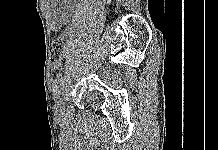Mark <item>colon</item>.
Instances as JSON below:
<instances>
[{
    "label": "colon",
    "instance_id": "5ec220e1",
    "mask_svg": "<svg viewBox=\"0 0 218 150\" xmlns=\"http://www.w3.org/2000/svg\"><path fill=\"white\" fill-rule=\"evenodd\" d=\"M66 48V40L65 37L62 35L57 36L52 44V48H51V60L52 62L56 63L58 62L65 51Z\"/></svg>",
    "mask_w": 218,
    "mask_h": 150
}]
</instances>
